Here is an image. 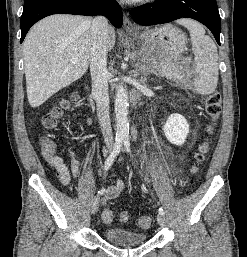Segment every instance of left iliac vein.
Here are the masks:
<instances>
[{"label": "left iliac vein", "instance_id": "1", "mask_svg": "<svg viewBox=\"0 0 247 257\" xmlns=\"http://www.w3.org/2000/svg\"><path fill=\"white\" fill-rule=\"evenodd\" d=\"M157 221L161 227H164L166 225V218L160 213L157 215Z\"/></svg>", "mask_w": 247, "mask_h": 257}]
</instances>
